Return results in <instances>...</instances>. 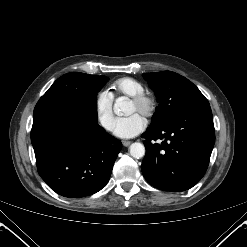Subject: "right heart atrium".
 <instances>
[{
  "label": "right heart atrium",
  "instance_id": "obj_1",
  "mask_svg": "<svg viewBox=\"0 0 247 247\" xmlns=\"http://www.w3.org/2000/svg\"><path fill=\"white\" fill-rule=\"evenodd\" d=\"M95 113L100 126L111 131L114 126L113 97L108 91L98 93L95 100Z\"/></svg>",
  "mask_w": 247,
  "mask_h": 247
}]
</instances>
